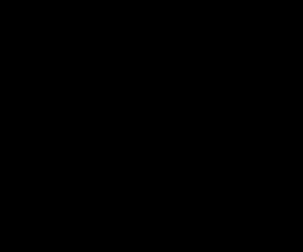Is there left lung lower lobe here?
Here are the masks:
<instances>
[{"label": "left lung lower lobe", "instance_id": "0a47b994", "mask_svg": "<svg viewBox=\"0 0 303 252\" xmlns=\"http://www.w3.org/2000/svg\"><path fill=\"white\" fill-rule=\"evenodd\" d=\"M194 143L196 142H192V144ZM201 147L206 150V158L209 161V166L207 167L203 151H201L202 156L200 159H198V157H196V159L200 160L198 162L201 170H210L211 175H209L205 180L202 178L195 179L191 185H188V191L196 196L207 195L220 186L229 172L236 154V149L234 150L233 147L218 143L201 141ZM230 156L233 158L231 160V164L228 166L227 161Z\"/></svg>", "mask_w": 303, "mask_h": 252}]
</instances>
